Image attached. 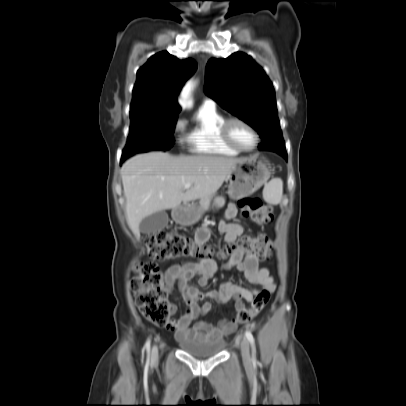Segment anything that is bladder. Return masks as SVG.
<instances>
[{
	"instance_id": "31cf9c89",
	"label": "bladder",
	"mask_w": 406,
	"mask_h": 406,
	"mask_svg": "<svg viewBox=\"0 0 406 406\" xmlns=\"http://www.w3.org/2000/svg\"><path fill=\"white\" fill-rule=\"evenodd\" d=\"M178 342L182 351L200 358L216 355L222 348V344L213 342H194L189 340H179Z\"/></svg>"
}]
</instances>
